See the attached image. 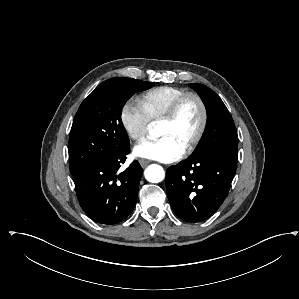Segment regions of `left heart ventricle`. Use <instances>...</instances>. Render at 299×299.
<instances>
[{
  "label": "left heart ventricle",
  "instance_id": "left-heart-ventricle-1",
  "mask_svg": "<svg viewBox=\"0 0 299 299\" xmlns=\"http://www.w3.org/2000/svg\"><path fill=\"white\" fill-rule=\"evenodd\" d=\"M201 120V110L194 99L187 100L177 119L172 123H160L159 136L170 137L184 149L195 136Z\"/></svg>",
  "mask_w": 299,
  "mask_h": 299
}]
</instances>
